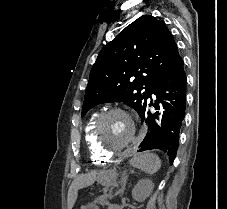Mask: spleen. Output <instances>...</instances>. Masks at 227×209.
<instances>
[{
	"label": "spleen",
	"mask_w": 227,
	"mask_h": 209,
	"mask_svg": "<svg viewBox=\"0 0 227 209\" xmlns=\"http://www.w3.org/2000/svg\"><path fill=\"white\" fill-rule=\"evenodd\" d=\"M130 165L135 169H141L147 175H154L161 167V161L155 153H137L130 159Z\"/></svg>",
	"instance_id": "spleen-1"
}]
</instances>
